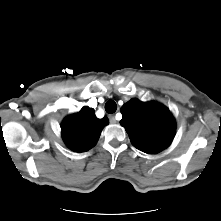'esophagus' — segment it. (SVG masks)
Listing matches in <instances>:
<instances>
[{"mask_svg":"<svg viewBox=\"0 0 221 221\" xmlns=\"http://www.w3.org/2000/svg\"><path fill=\"white\" fill-rule=\"evenodd\" d=\"M109 120H110V123H112V124H115L117 122V119L115 118L114 115H110Z\"/></svg>","mask_w":221,"mask_h":221,"instance_id":"1","label":"esophagus"}]
</instances>
